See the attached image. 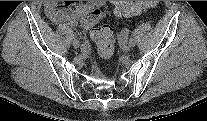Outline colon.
<instances>
[{
  "label": "colon",
  "instance_id": "obj_1",
  "mask_svg": "<svg viewBox=\"0 0 207 121\" xmlns=\"http://www.w3.org/2000/svg\"><path fill=\"white\" fill-rule=\"evenodd\" d=\"M156 5V1H125L119 2L114 7V13L118 16L137 15ZM90 36L96 43L98 53L103 58H109L114 51L115 36L112 28L107 24H96Z\"/></svg>",
  "mask_w": 207,
  "mask_h": 121
}]
</instances>
